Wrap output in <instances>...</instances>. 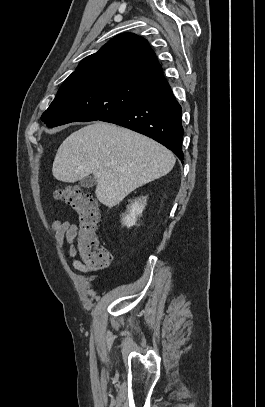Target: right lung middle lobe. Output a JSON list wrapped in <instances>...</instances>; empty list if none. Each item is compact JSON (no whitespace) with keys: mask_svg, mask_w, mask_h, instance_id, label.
<instances>
[{"mask_svg":"<svg viewBox=\"0 0 265 407\" xmlns=\"http://www.w3.org/2000/svg\"><path fill=\"white\" fill-rule=\"evenodd\" d=\"M155 87L101 74L67 78L41 120L49 127L102 120L146 98Z\"/></svg>","mask_w":265,"mask_h":407,"instance_id":"dd1d6c3e","label":"right lung middle lobe"}]
</instances>
